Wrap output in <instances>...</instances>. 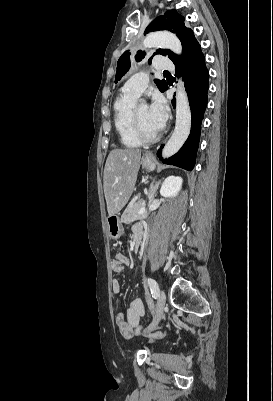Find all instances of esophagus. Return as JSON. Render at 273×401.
I'll use <instances>...</instances> for the list:
<instances>
[{
	"label": "esophagus",
	"mask_w": 273,
	"mask_h": 401,
	"mask_svg": "<svg viewBox=\"0 0 273 401\" xmlns=\"http://www.w3.org/2000/svg\"><path fill=\"white\" fill-rule=\"evenodd\" d=\"M146 158L154 159L152 152H149L145 155Z\"/></svg>",
	"instance_id": "obj_1"
}]
</instances>
